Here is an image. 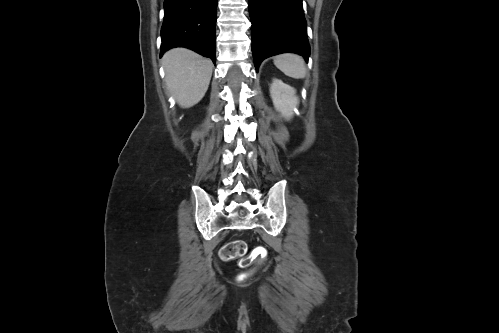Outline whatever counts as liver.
Instances as JSON below:
<instances>
[{
    "label": "liver",
    "instance_id": "obj_1",
    "mask_svg": "<svg viewBox=\"0 0 499 333\" xmlns=\"http://www.w3.org/2000/svg\"><path fill=\"white\" fill-rule=\"evenodd\" d=\"M167 89L181 107L197 104L205 95L213 64L199 54L185 48L171 49L162 58Z\"/></svg>",
    "mask_w": 499,
    "mask_h": 333
}]
</instances>
